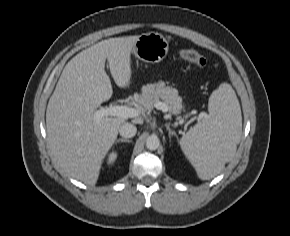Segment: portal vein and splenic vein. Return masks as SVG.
Returning <instances> with one entry per match:
<instances>
[{
    "label": "portal vein and splenic vein",
    "mask_w": 290,
    "mask_h": 236,
    "mask_svg": "<svg viewBox=\"0 0 290 236\" xmlns=\"http://www.w3.org/2000/svg\"><path fill=\"white\" fill-rule=\"evenodd\" d=\"M157 110H161L166 113L169 111L168 106L161 101H157L154 105ZM141 110L138 108L129 107L126 105H111L109 107L100 108L93 113V118L96 122H99L106 116H120L125 118H134L139 116Z\"/></svg>",
    "instance_id": "obj_1"
}]
</instances>
